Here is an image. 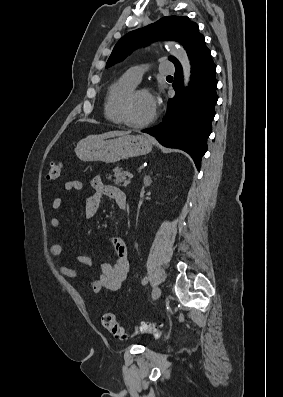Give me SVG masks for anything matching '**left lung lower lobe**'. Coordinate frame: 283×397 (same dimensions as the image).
Listing matches in <instances>:
<instances>
[{
    "label": "left lung lower lobe",
    "mask_w": 283,
    "mask_h": 397,
    "mask_svg": "<svg viewBox=\"0 0 283 397\" xmlns=\"http://www.w3.org/2000/svg\"><path fill=\"white\" fill-rule=\"evenodd\" d=\"M189 59L192 73L189 86L183 88L182 67L176 65L175 96L168 101L166 116L159 125L142 132L156 137L165 147L187 152L199 170L201 157L207 151V138L211 134L218 100L216 65L205 44L193 50Z\"/></svg>",
    "instance_id": "0a47b994"
}]
</instances>
